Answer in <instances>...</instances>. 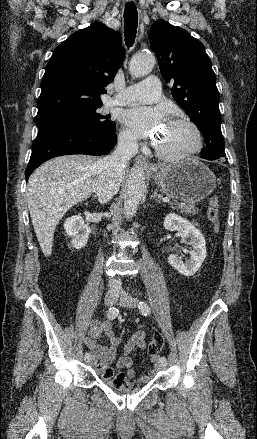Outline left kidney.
Here are the masks:
<instances>
[{
	"instance_id": "5707ae66",
	"label": "left kidney",
	"mask_w": 257,
	"mask_h": 439,
	"mask_svg": "<svg viewBox=\"0 0 257 439\" xmlns=\"http://www.w3.org/2000/svg\"><path fill=\"white\" fill-rule=\"evenodd\" d=\"M164 228L168 231H179L183 240L188 239L192 247L189 252L190 258L185 262L176 255L168 257L169 264L184 276H192L200 268L206 258V242L202 233L187 219L170 213L165 217Z\"/></svg>"
}]
</instances>
